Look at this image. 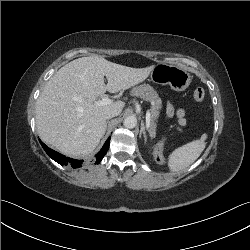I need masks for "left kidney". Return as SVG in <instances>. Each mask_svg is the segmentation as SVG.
Returning <instances> with one entry per match:
<instances>
[{"instance_id":"1","label":"left kidney","mask_w":250,"mask_h":250,"mask_svg":"<svg viewBox=\"0 0 250 250\" xmlns=\"http://www.w3.org/2000/svg\"><path fill=\"white\" fill-rule=\"evenodd\" d=\"M153 155H156V150L154 149L153 152H152Z\"/></svg>"}]
</instances>
